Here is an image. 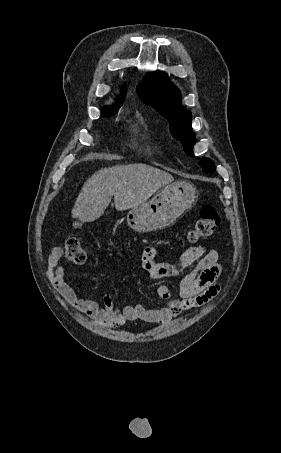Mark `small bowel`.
<instances>
[{"label":"small bowel","mask_w":281,"mask_h":453,"mask_svg":"<svg viewBox=\"0 0 281 453\" xmlns=\"http://www.w3.org/2000/svg\"><path fill=\"white\" fill-rule=\"evenodd\" d=\"M64 251L56 248L48 256L49 275L54 286L81 313L98 323L107 326H121L128 321L145 320L151 323L168 321L175 315L196 309L207 304L217 296L221 284L219 276L221 267L215 250L205 251L199 246L186 250L171 262H159L156 259L154 246H146L142 255V265L153 278H176L189 269L186 276L179 282L177 290L182 297L178 301L172 297L168 285H160L156 289L159 297L166 301L160 308H147L143 305L114 307L112 297L105 294L106 305L86 299L75 289L73 283L65 275L61 264Z\"/></svg>","instance_id":"small-bowel-1"}]
</instances>
